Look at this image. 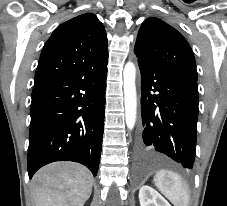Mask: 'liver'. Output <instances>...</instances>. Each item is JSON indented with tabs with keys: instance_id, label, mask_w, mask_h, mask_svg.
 Here are the masks:
<instances>
[{
	"instance_id": "obj_1",
	"label": "liver",
	"mask_w": 227,
	"mask_h": 206,
	"mask_svg": "<svg viewBox=\"0 0 227 206\" xmlns=\"http://www.w3.org/2000/svg\"><path fill=\"white\" fill-rule=\"evenodd\" d=\"M93 177L84 166L57 162L41 168L33 177L35 206H83L91 195Z\"/></svg>"
}]
</instances>
